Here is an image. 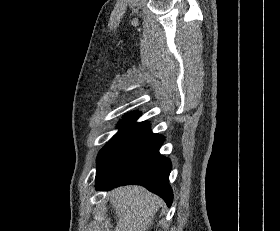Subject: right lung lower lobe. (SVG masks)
Wrapping results in <instances>:
<instances>
[{
  "label": "right lung lower lobe",
  "mask_w": 280,
  "mask_h": 231,
  "mask_svg": "<svg viewBox=\"0 0 280 231\" xmlns=\"http://www.w3.org/2000/svg\"><path fill=\"white\" fill-rule=\"evenodd\" d=\"M164 137L153 134L149 123L135 125L107 144L97 157L96 190L121 185H142L170 207L173 201L168 178L171 162L160 155Z\"/></svg>",
  "instance_id": "1"
}]
</instances>
